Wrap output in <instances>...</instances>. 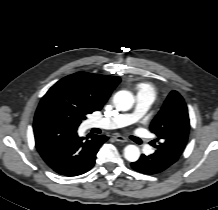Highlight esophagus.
Masks as SVG:
<instances>
[{
  "label": "esophagus",
  "instance_id": "1",
  "mask_svg": "<svg viewBox=\"0 0 218 210\" xmlns=\"http://www.w3.org/2000/svg\"><path fill=\"white\" fill-rule=\"evenodd\" d=\"M114 139H115L117 142H121V143H126V142H128V140H127L125 137L121 136V135H116V136L114 137Z\"/></svg>",
  "mask_w": 218,
  "mask_h": 210
}]
</instances>
